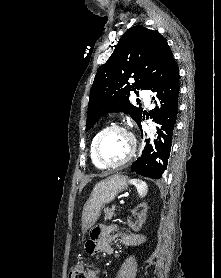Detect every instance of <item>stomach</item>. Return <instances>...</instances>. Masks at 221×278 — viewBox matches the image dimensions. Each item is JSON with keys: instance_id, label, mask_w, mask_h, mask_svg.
<instances>
[{"instance_id": "1", "label": "stomach", "mask_w": 221, "mask_h": 278, "mask_svg": "<svg viewBox=\"0 0 221 278\" xmlns=\"http://www.w3.org/2000/svg\"><path fill=\"white\" fill-rule=\"evenodd\" d=\"M128 187L125 176L115 174L95 185L82 211L81 228L86 232L98 220L102 209Z\"/></svg>"}]
</instances>
